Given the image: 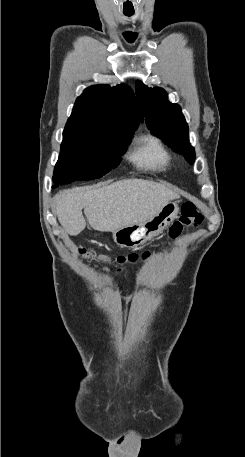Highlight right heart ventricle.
<instances>
[{
  "label": "right heart ventricle",
  "instance_id": "1",
  "mask_svg": "<svg viewBox=\"0 0 245 457\" xmlns=\"http://www.w3.org/2000/svg\"><path fill=\"white\" fill-rule=\"evenodd\" d=\"M137 144L136 157L140 163L153 168H163L167 164L169 156L159 138L141 134L137 137Z\"/></svg>",
  "mask_w": 245,
  "mask_h": 457
}]
</instances>
